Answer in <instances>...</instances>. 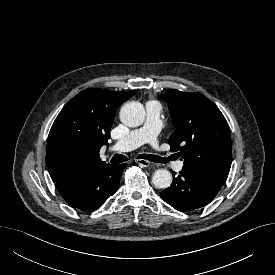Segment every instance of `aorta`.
I'll use <instances>...</instances> for the list:
<instances>
[{"mask_svg":"<svg viewBox=\"0 0 275 275\" xmlns=\"http://www.w3.org/2000/svg\"><path fill=\"white\" fill-rule=\"evenodd\" d=\"M145 108L136 101L124 104L120 110V120L128 127H138L145 120ZM152 183L159 189H166L172 183V174L166 169H158L153 173Z\"/></svg>","mask_w":275,"mask_h":275,"instance_id":"762f6f07","label":"aorta"}]
</instances>
